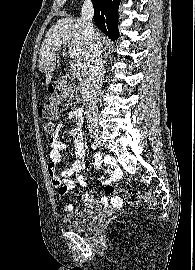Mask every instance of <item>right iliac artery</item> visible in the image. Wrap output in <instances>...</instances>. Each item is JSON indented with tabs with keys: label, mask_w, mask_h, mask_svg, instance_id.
Returning <instances> with one entry per match:
<instances>
[{
	"label": "right iliac artery",
	"mask_w": 195,
	"mask_h": 270,
	"mask_svg": "<svg viewBox=\"0 0 195 270\" xmlns=\"http://www.w3.org/2000/svg\"><path fill=\"white\" fill-rule=\"evenodd\" d=\"M91 146H92V148L95 150L96 148H97V145H96V143L94 142V143H92L91 144ZM107 160V159H106Z\"/></svg>",
	"instance_id": "obj_1"
}]
</instances>
